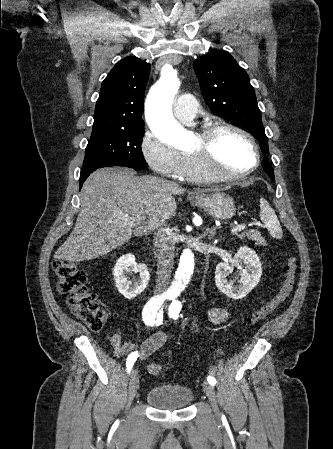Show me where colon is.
<instances>
[{
	"instance_id": "1",
	"label": "colon",
	"mask_w": 333,
	"mask_h": 449,
	"mask_svg": "<svg viewBox=\"0 0 333 449\" xmlns=\"http://www.w3.org/2000/svg\"><path fill=\"white\" fill-rule=\"evenodd\" d=\"M52 270L57 278L59 292L68 295V304L72 312L90 330H101L108 314L97 301L96 295L88 290L86 274L74 263L62 259H55L52 262ZM296 271V258L288 256L282 267L283 282L280 288L271 298L262 300L258 309L250 312L243 322L245 328H252L265 321L287 299L294 287ZM148 369L150 374L155 376L163 372L162 366L156 363L150 364Z\"/></svg>"
}]
</instances>
